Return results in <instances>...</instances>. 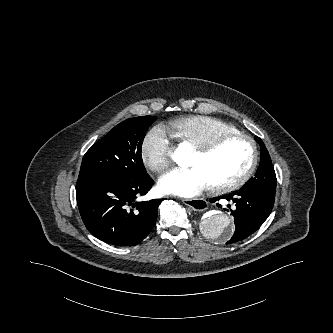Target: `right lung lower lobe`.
<instances>
[{
    "instance_id": "obj_1",
    "label": "right lung lower lobe",
    "mask_w": 333,
    "mask_h": 333,
    "mask_svg": "<svg viewBox=\"0 0 333 333\" xmlns=\"http://www.w3.org/2000/svg\"><path fill=\"white\" fill-rule=\"evenodd\" d=\"M153 184L148 174L140 180L117 177L78 179L77 204L88 231L114 246L140 243L155 226L157 210L163 201H136Z\"/></svg>"
}]
</instances>
